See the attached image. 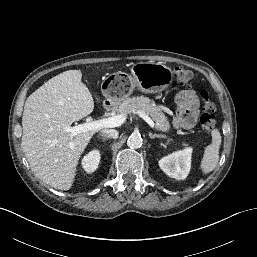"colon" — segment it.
Returning a JSON list of instances; mask_svg holds the SVG:
<instances>
[{"mask_svg": "<svg viewBox=\"0 0 257 257\" xmlns=\"http://www.w3.org/2000/svg\"><path fill=\"white\" fill-rule=\"evenodd\" d=\"M174 76L177 82L181 85L191 86L195 81L193 73L183 67H176L174 69ZM200 96L203 102L202 113L200 115V125L205 132L209 133L215 128L217 117L208 92L206 90H202L200 92Z\"/></svg>", "mask_w": 257, "mask_h": 257, "instance_id": "obj_1", "label": "colon"}]
</instances>
